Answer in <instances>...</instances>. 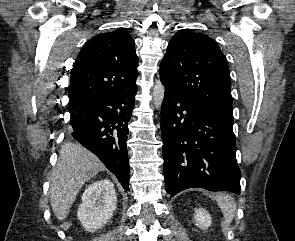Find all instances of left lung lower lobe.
<instances>
[{
    "label": "left lung lower lobe",
    "mask_w": 295,
    "mask_h": 241,
    "mask_svg": "<svg viewBox=\"0 0 295 241\" xmlns=\"http://www.w3.org/2000/svg\"><path fill=\"white\" fill-rule=\"evenodd\" d=\"M233 123L195 105L165 85L161 108L165 187L240 194Z\"/></svg>",
    "instance_id": "obj_1"
}]
</instances>
